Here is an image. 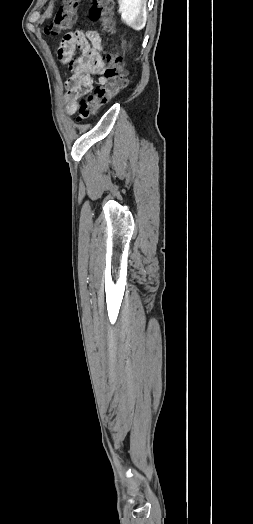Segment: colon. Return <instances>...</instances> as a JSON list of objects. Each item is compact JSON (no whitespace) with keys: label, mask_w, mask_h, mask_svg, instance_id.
<instances>
[{"label":"colon","mask_w":253,"mask_h":524,"mask_svg":"<svg viewBox=\"0 0 253 524\" xmlns=\"http://www.w3.org/2000/svg\"><path fill=\"white\" fill-rule=\"evenodd\" d=\"M78 2L79 0L63 1L53 21L45 29L47 36H59L72 27L76 17ZM113 5L114 0H93L89 11L90 19L100 23L105 35H110L113 32ZM104 61V76L107 79V83L105 86L97 87L93 95L82 98L79 101L74 113L77 122L89 119L100 105L117 96L128 85L126 72L123 68V60L106 50Z\"/></svg>","instance_id":"1"}]
</instances>
